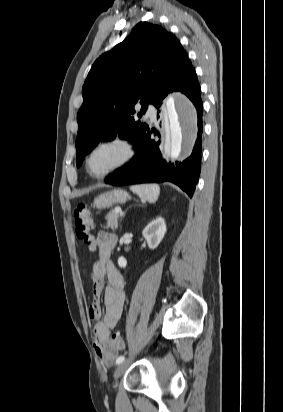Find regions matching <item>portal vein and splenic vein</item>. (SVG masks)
<instances>
[{
  "label": "portal vein and splenic vein",
  "instance_id": "obj_1",
  "mask_svg": "<svg viewBox=\"0 0 283 412\" xmlns=\"http://www.w3.org/2000/svg\"><path fill=\"white\" fill-rule=\"evenodd\" d=\"M115 212H116V213H122V210H121V208L116 207V208H115Z\"/></svg>",
  "mask_w": 283,
  "mask_h": 412
}]
</instances>
